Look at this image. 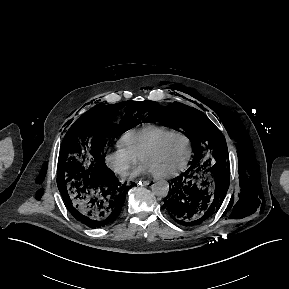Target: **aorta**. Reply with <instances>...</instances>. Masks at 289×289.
Listing matches in <instances>:
<instances>
[{
  "instance_id": "762f6f07",
  "label": "aorta",
  "mask_w": 289,
  "mask_h": 289,
  "mask_svg": "<svg viewBox=\"0 0 289 289\" xmlns=\"http://www.w3.org/2000/svg\"><path fill=\"white\" fill-rule=\"evenodd\" d=\"M151 189L155 196L164 198L168 195L169 184L166 180H159L152 184Z\"/></svg>"
}]
</instances>
